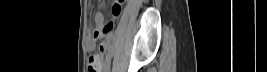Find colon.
<instances>
[{
	"label": "colon",
	"instance_id": "obj_1",
	"mask_svg": "<svg viewBox=\"0 0 267 72\" xmlns=\"http://www.w3.org/2000/svg\"><path fill=\"white\" fill-rule=\"evenodd\" d=\"M119 4H120L119 1L115 2L114 10L117 12L120 10ZM114 27H115V21H110L109 23L106 24L104 31L106 33H111ZM101 69H102V60L100 55L91 56L88 62L89 72H100Z\"/></svg>",
	"mask_w": 267,
	"mask_h": 72
}]
</instances>
